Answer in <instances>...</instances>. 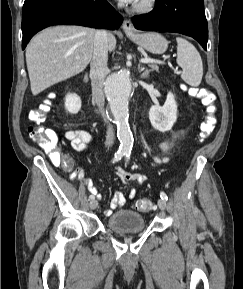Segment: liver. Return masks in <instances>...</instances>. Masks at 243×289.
<instances>
[{
  "mask_svg": "<svg viewBox=\"0 0 243 289\" xmlns=\"http://www.w3.org/2000/svg\"><path fill=\"white\" fill-rule=\"evenodd\" d=\"M96 31L82 26L61 25L44 29L26 48L31 92L38 95L48 87L81 73L94 50ZM116 38L108 35V50Z\"/></svg>",
  "mask_w": 243,
  "mask_h": 289,
  "instance_id": "liver-1",
  "label": "liver"
}]
</instances>
